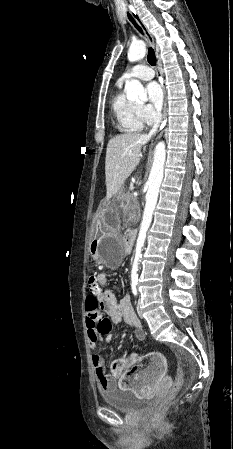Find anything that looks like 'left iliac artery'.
<instances>
[{
    "instance_id": "obj_1",
    "label": "left iliac artery",
    "mask_w": 233,
    "mask_h": 449,
    "mask_svg": "<svg viewBox=\"0 0 233 449\" xmlns=\"http://www.w3.org/2000/svg\"><path fill=\"white\" fill-rule=\"evenodd\" d=\"M132 292H133V294L136 296L137 295V288H136V285H133L132 286Z\"/></svg>"
}]
</instances>
